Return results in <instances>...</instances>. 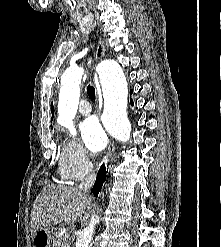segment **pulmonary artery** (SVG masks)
<instances>
[{
	"mask_svg": "<svg viewBox=\"0 0 221 247\" xmlns=\"http://www.w3.org/2000/svg\"><path fill=\"white\" fill-rule=\"evenodd\" d=\"M92 111V108L90 106V103L88 100L84 99V100H81L80 101V104H79V112L82 114V115H88L90 114Z\"/></svg>",
	"mask_w": 221,
	"mask_h": 247,
	"instance_id": "obj_1",
	"label": "pulmonary artery"
}]
</instances>
